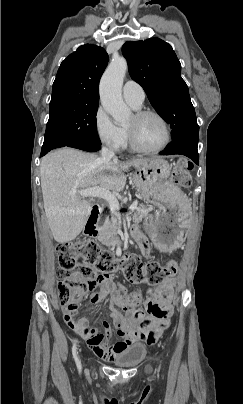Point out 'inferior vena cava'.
<instances>
[{
  "label": "inferior vena cava",
  "mask_w": 243,
  "mask_h": 404,
  "mask_svg": "<svg viewBox=\"0 0 243 404\" xmlns=\"http://www.w3.org/2000/svg\"><path fill=\"white\" fill-rule=\"evenodd\" d=\"M101 156L103 158V160H112V158H114V160H117L113 150H108V148H102V152H101Z\"/></svg>",
  "instance_id": "602c4592"
}]
</instances>
